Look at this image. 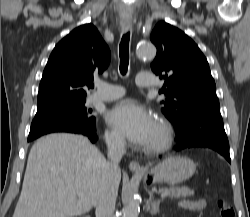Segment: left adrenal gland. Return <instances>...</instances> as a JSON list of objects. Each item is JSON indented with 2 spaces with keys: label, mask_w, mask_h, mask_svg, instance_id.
Wrapping results in <instances>:
<instances>
[{
  "label": "left adrenal gland",
  "mask_w": 250,
  "mask_h": 217,
  "mask_svg": "<svg viewBox=\"0 0 250 217\" xmlns=\"http://www.w3.org/2000/svg\"><path fill=\"white\" fill-rule=\"evenodd\" d=\"M160 203L161 200L155 201L153 195H150L149 200H147V210H149L152 215L159 213Z\"/></svg>",
  "instance_id": "left-adrenal-gland-1"
}]
</instances>
